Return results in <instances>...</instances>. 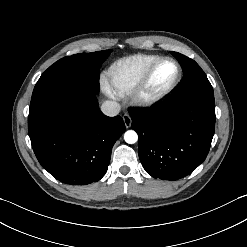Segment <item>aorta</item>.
I'll use <instances>...</instances> for the list:
<instances>
[{
	"label": "aorta",
	"instance_id": "1",
	"mask_svg": "<svg viewBox=\"0 0 247 247\" xmlns=\"http://www.w3.org/2000/svg\"><path fill=\"white\" fill-rule=\"evenodd\" d=\"M124 140L128 144H134L138 140V135L134 130H128L124 134Z\"/></svg>",
	"mask_w": 247,
	"mask_h": 247
}]
</instances>
